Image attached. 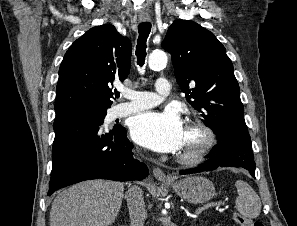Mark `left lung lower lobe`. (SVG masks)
<instances>
[{"label":"left lung lower lobe","instance_id":"0a47b994","mask_svg":"<svg viewBox=\"0 0 297 226\" xmlns=\"http://www.w3.org/2000/svg\"><path fill=\"white\" fill-rule=\"evenodd\" d=\"M217 139V145L208 155L209 160L194 169L181 170L180 174L211 171L220 167H242L247 169L255 178L256 165L253 159L250 136L222 135Z\"/></svg>","mask_w":297,"mask_h":226}]
</instances>
